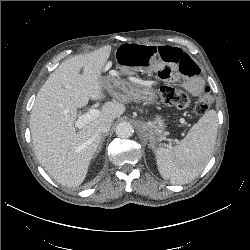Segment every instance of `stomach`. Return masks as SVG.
Returning <instances> with one entry per match:
<instances>
[{"instance_id":"0dacf381","label":"stomach","mask_w":250,"mask_h":250,"mask_svg":"<svg viewBox=\"0 0 250 250\" xmlns=\"http://www.w3.org/2000/svg\"><path fill=\"white\" fill-rule=\"evenodd\" d=\"M123 44H136V43H123ZM146 45V44H137ZM154 46V45H148ZM126 72V71H123ZM127 73V72H126ZM103 89L107 90L110 94L121 99H132L134 101H153L155 98L153 89L148 85H124L120 84L114 78H103Z\"/></svg>"}]
</instances>
